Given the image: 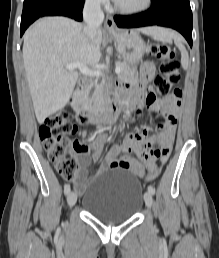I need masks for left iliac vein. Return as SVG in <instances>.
Instances as JSON below:
<instances>
[{
  "mask_svg": "<svg viewBox=\"0 0 219 258\" xmlns=\"http://www.w3.org/2000/svg\"><path fill=\"white\" fill-rule=\"evenodd\" d=\"M144 201H145V204L147 205V207L150 209L152 207V204H153V196L151 193L149 192H146L144 194Z\"/></svg>",
  "mask_w": 219,
  "mask_h": 258,
  "instance_id": "4c4485c4",
  "label": "left iliac vein"
}]
</instances>
